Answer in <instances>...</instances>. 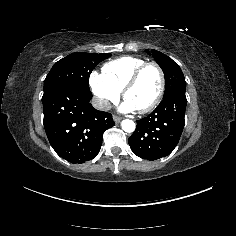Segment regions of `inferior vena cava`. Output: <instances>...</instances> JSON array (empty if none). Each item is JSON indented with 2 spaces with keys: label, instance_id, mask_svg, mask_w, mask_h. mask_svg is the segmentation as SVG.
Returning <instances> with one entry per match:
<instances>
[{
  "label": "inferior vena cava",
  "instance_id": "inferior-vena-cava-1",
  "mask_svg": "<svg viewBox=\"0 0 236 236\" xmlns=\"http://www.w3.org/2000/svg\"><path fill=\"white\" fill-rule=\"evenodd\" d=\"M93 107L97 110L108 111L111 109V104L108 100L94 96L91 101Z\"/></svg>",
  "mask_w": 236,
  "mask_h": 236
}]
</instances>
